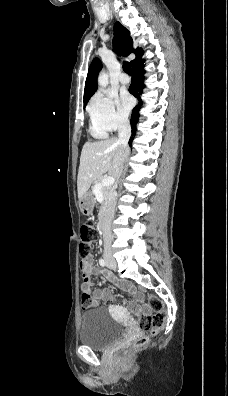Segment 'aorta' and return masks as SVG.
<instances>
[{
  "instance_id": "obj_1",
  "label": "aorta",
  "mask_w": 228,
  "mask_h": 396,
  "mask_svg": "<svg viewBox=\"0 0 228 396\" xmlns=\"http://www.w3.org/2000/svg\"><path fill=\"white\" fill-rule=\"evenodd\" d=\"M108 74L107 73H100L98 77V84L101 88H106L108 86Z\"/></svg>"
}]
</instances>
